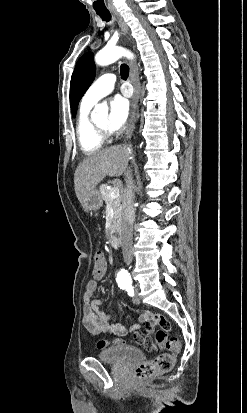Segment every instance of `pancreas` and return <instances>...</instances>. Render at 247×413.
Listing matches in <instances>:
<instances>
[{
  "label": "pancreas",
  "instance_id": "cf45deb5",
  "mask_svg": "<svg viewBox=\"0 0 247 413\" xmlns=\"http://www.w3.org/2000/svg\"><path fill=\"white\" fill-rule=\"evenodd\" d=\"M108 184H101L100 192L102 194L103 200L105 202H110L112 204V209L114 213L113 225L112 227H117L121 223V198L122 196H116V198H111L109 194V188H107Z\"/></svg>",
  "mask_w": 247,
  "mask_h": 413
}]
</instances>
